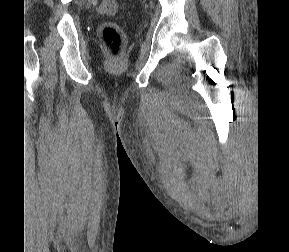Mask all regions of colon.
<instances>
[{
    "label": "colon",
    "instance_id": "obj_1",
    "mask_svg": "<svg viewBox=\"0 0 289 252\" xmlns=\"http://www.w3.org/2000/svg\"><path fill=\"white\" fill-rule=\"evenodd\" d=\"M118 8L119 4L117 0H101L98 11L102 15H112ZM98 33L111 62L118 64L126 42V35L123 29L114 22H105L100 25Z\"/></svg>",
    "mask_w": 289,
    "mask_h": 252
}]
</instances>
